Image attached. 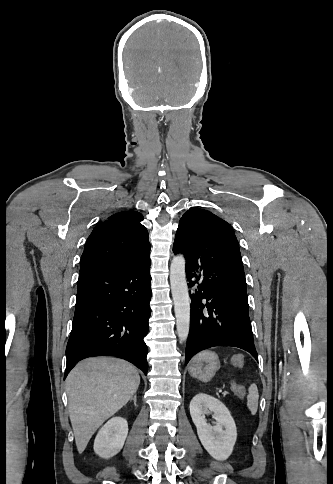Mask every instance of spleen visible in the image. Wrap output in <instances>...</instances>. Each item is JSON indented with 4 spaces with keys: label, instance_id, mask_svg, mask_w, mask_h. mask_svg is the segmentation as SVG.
I'll return each instance as SVG.
<instances>
[{
    "label": "spleen",
    "instance_id": "3e777b00",
    "mask_svg": "<svg viewBox=\"0 0 333 484\" xmlns=\"http://www.w3.org/2000/svg\"><path fill=\"white\" fill-rule=\"evenodd\" d=\"M232 389L236 390V385H232ZM258 389L255 384H251L248 389V396H247V407L251 411V414L254 415L258 409Z\"/></svg>",
    "mask_w": 333,
    "mask_h": 484
}]
</instances>
